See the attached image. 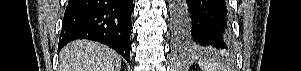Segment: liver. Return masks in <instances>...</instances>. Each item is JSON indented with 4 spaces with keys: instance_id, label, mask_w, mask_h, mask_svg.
I'll return each instance as SVG.
<instances>
[{
    "instance_id": "1",
    "label": "liver",
    "mask_w": 301,
    "mask_h": 71,
    "mask_svg": "<svg viewBox=\"0 0 301 71\" xmlns=\"http://www.w3.org/2000/svg\"><path fill=\"white\" fill-rule=\"evenodd\" d=\"M122 57L103 44L76 40L60 51L59 71H120Z\"/></svg>"
}]
</instances>
